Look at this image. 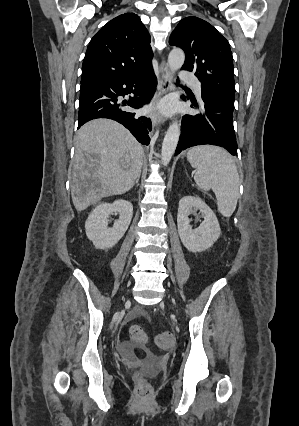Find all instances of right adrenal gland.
I'll return each mask as SVG.
<instances>
[{
  "label": "right adrenal gland",
  "instance_id": "2a0ac1e0",
  "mask_svg": "<svg viewBox=\"0 0 299 426\" xmlns=\"http://www.w3.org/2000/svg\"><path fill=\"white\" fill-rule=\"evenodd\" d=\"M139 178L140 177H138L137 179H136V181H135V184L138 186L139 184H138V182H139Z\"/></svg>",
  "mask_w": 299,
  "mask_h": 426
}]
</instances>
